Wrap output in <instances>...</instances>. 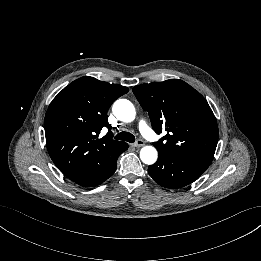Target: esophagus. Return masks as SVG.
Masks as SVG:
<instances>
[{
	"mask_svg": "<svg viewBox=\"0 0 261 261\" xmlns=\"http://www.w3.org/2000/svg\"><path fill=\"white\" fill-rule=\"evenodd\" d=\"M135 147H141L144 146V141L142 139H139L137 142L133 144Z\"/></svg>",
	"mask_w": 261,
	"mask_h": 261,
	"instance_id": "1",
	"label": "esophagus"
}]
</instances>
